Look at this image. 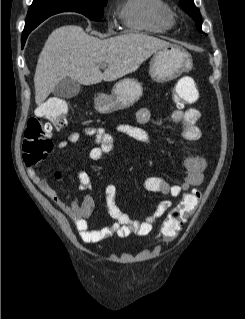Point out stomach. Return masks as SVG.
<instances>
[{"label":"stomach","instance_id":"0dacf381","mask_svg":"<svg viewBox=\"0 0 245 319\" xmlns=\"http://www.w3.org/2000/svg\"><path fill=\"white\" fill-rule=\"evenodd\" d=\"M192 67L191 55L179 46L169 44L156 51L150 62L151 78L163 83L170 81ZM142 84L131 78L118 81L110 95L103 94L94 101L95 109L102 114L128 108L142 96Z\"/></svg>","mask_w":245,"mask_h":319}]
</instances>
